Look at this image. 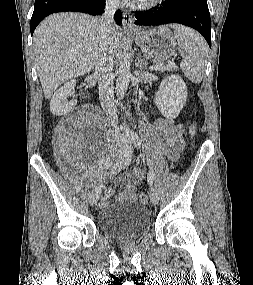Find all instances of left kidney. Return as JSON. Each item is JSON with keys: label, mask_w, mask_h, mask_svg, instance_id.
I'll list each match as a JSON object with an SVG mask.
<instances>
[{"label": "left kidney", "mask_w": 253, "mask_h": 285, "mask_svg": "<svg viewBox=\"0 0 253 285\" xmlns=\"http://www.w3.org/2000/svg\"><path fill=\"white\" fill-rule=\"evenodd\" d=\"M187 87L179 75H170L162 80L154 102L161 114L168 118H176L187 100Z\"/></svg>", "instance_id": "5707ae66"}]
</instances>
